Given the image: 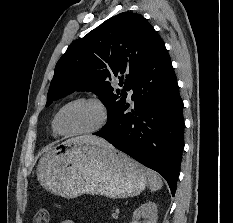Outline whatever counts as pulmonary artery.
Returning a JSON list of instances; mask_svg holds the SVG:
<instances>
[{
	"mask_svg": "<svg viewBox=\"0 0 233 223\" xmlns=\"http://www.w3.org/2000/svg\"><path fill=\"white\" fill-rule=\"evenodd\" d=\"M134 94L133 88H130L128 91V95L131 97Z\"/></svg>",
	"mask_w": 233,
	"mask_h": 223,
	"instance_id": "pulmonary-artery-1",
	"label": "pulmonary artery"
}]
</instances>
